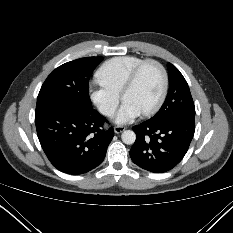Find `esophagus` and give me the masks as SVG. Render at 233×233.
<instances>
[{
    "label": "esophagus",
    "mask_w": 233,
    "mask_h": 233,
    "mask_svg": "<svg viewBox=\"0 0 233 233\" xmlns=\"http://www.w3.org/2000/svg\"><path fill=\"white\" fill-rule=\"evenodd\" d=\"M124 130H125V127H123V126H116V127H114V132L116 134H119V133L123 132Z\"/></svg>",
    "instance_id": "obj_1"
}]
</instances>
